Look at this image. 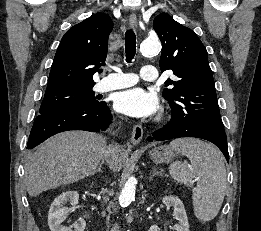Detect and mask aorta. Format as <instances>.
Returning a JSON list of instances; mask_svg holds the SVG:
<instances>
[{"mask_svg": "<svg viewBox=\"0 0 261 231\" xmlns=\"http://www.w3.org/2000/svg\"><path fill=\"white\" fill-rule=\"evenodd\" d=\"M161 45L158 40H145L141 43L140 51L144 56H153L160 52ZM136 179L131 176L126 181L121 194L119 196V203L122 207L128 206L135 197Z\"/></svg>", "mask_w": 261, "mask_h": 231, "instance_id": "aorta-1", "label": "aorta"}]
</instances>
